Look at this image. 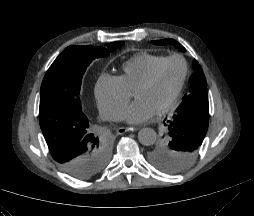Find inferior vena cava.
<instances>
[{"label":"inferior vena cava","mask_w":254,"mask_h":216,"mask_svg":"<svg viewBox=\"0 0 254 216\" xmlns=\"http://www.w3.org/2000/svg\"><path fill=\"white\" fill-rule=\"evenodd\" d=\"M100 119L104 121H119L121 116L113 109L100 107L99 108Z\"/></svg>","instance_id":"obj_1"}]
</instances>
